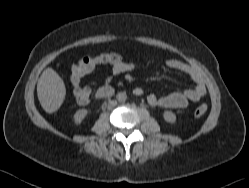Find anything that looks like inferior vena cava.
Returning <instances> with one entry per match:
<instances>
[{"label":"inferior vena cava","mask_w":249,"mask_h":188,"mask_svg":"<svg viewBox=\"0 0 249 188\" xmlns=\"http://www.w3.org/2000/svg\"><path fill=\"white\" fill-rule=\"evenodd\" d=\"M116 105H117V101L116 100H110L108 102V109H113Z\"/></svg>","instance_id":"1"}]
</instances>
